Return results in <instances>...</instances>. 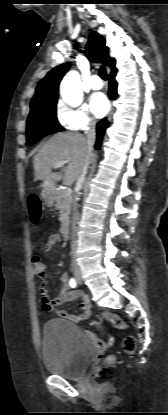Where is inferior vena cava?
Instances as JSON below:
<instances>
[{"label": "inferior vena cava", "mask_w": 168, "mask_h": 415, "mask_svg": "<svg viewBox=\"0 0 168 415\" xmlns=\"http://www.w3.org/2000/svg\"><path fill=\"white\" fill-rule=\"evenodd\" d=\"M95 123H91L86 131V147L88 150V153L91 154L93 151V146L95 143V139H96V129H95ZM88 160H86V163L84 165V168L80 174V176L77 179V185L81 186L82 183L85 180V176L87 173V169H88ZM77 197L78 195H75L74 200H73V214H72V221H71V257H72V261H71V265L74 269L77 268V263H76V253H75V247H76V231H77V222L79 219V213H78V203H77Z\"/></svg>", "instance_id": "obj_1"}]
</instances>
